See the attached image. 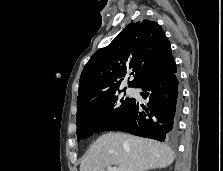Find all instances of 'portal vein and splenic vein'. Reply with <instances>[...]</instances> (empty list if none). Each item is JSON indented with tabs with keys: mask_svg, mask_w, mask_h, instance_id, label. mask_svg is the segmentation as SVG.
I'll return each instance as SVG.
<instances>
[{
	"mask_svg": "<svg viewBox=\"0 0 223 171\" xmlns=\"http://www.w3.org/2000/svg\"><path fill=\"white\" fill-rule=\"evenodd\" d=\"M107 171H119V169L117 167L108 166Z\"/></svg>",
	"mask_w": 223,
	"mask_h": 171,
	"instance_id": "portal-vein-and-splenic-vein-1",
	"label": "portal vein and splenic vein"
}]
</instances>
